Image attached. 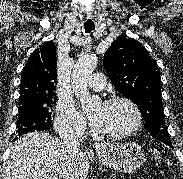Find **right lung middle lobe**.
Listing matches in <instances>:
<instances>
[{
  "instance_id": "dd1d6c3e",
  "label": "right lung middle lobe",
  "mask_w": 183,
  "mask_h": 179,
  "mask_svg": "<svg viewBox=\"0 0 183 179\" xmlns=\"http://www.w3.org/2000/svg\"><path fill=\"white\" fill-rule=\"evenodd\" d=\"M52 97L19 100L16 138L27 132L43 131L52 127L49 112Z\"/></svg>"
}]
</instances>
